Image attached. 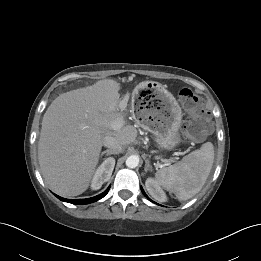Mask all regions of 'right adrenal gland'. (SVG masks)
<instances>
[{
    "label": "right adrenal gland",
    "mask_w": 261,
    "mask_h": 261,
    "mask_svg": "<svg viewBox=\"0 0 261 261\" xmlns=\"http://www.w3.org/2000/svg\"><path fill=\"white\" fill-rule=\"evenodd\" d=\"M104 154H106V156H108V155H112V154H115L113 151H111V150H105V151H103L102 153H101V157L104 155Z\"/></svg>",
    "instance_id": "obj_1"
}]
</instances>
